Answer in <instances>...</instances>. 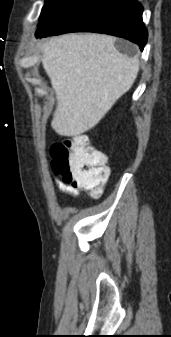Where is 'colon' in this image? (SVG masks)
Here are the masks:
<instances>
[{
    "label": "colon",
    "instance_id": "colon-1",
    "mask_svg": "<svg viewBox=\"0 0 171 337\" xmlns=\"http://www.w3.org/2000/svg\"><path fill=\"white\" fill-rule=\"evenodd\" d=\"M52 168L66 184L99 197L109 177L103 151L91 145L84 133H74L51 146Z\"/></svg>",
    "mask_w": 171,
    "mask_h": 337
}]
</instances>
